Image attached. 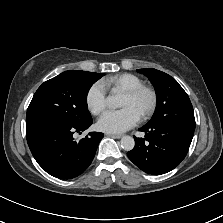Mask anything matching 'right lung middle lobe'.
Wrapping results in <instances>:
<instances>
[{"label":"right lung middle lobe","mask_w":223,"mask_h":223,"mask_svg":"<svg viewBox=\"0 0 223 223\" xmlns=\"http://www.w3.org/2000/svg\"><path fill=\"white\" fill-rule=\"evenodd\" d=\"M103 75L69 70L44 82L27 109L26 131L50 125L89 123L92 117L87 109V94Z\"/></svg>","instance_id":"dd1d6c3e"}]
</instances>
